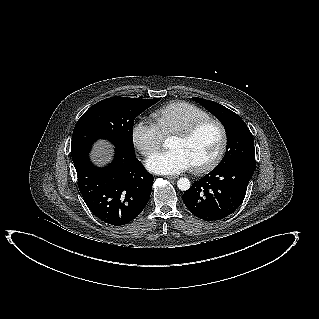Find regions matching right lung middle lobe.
<instances>
[{
	"instance_id": "dd1d6c3e",
	"label": "right lung middle lobe",
	"mask_w": 319,
	"mask_h": 319,
	"mask_svg": "<svg viewBox=\"0 0 319 319\" xmlns=\"http://www.w3.org/2000/svg\"><path fill=\"white\" fill-rule=\"evenodd\" d=\"M160 99L111 97L90 107L77 121L72 135L71 154L90 148L99 138L108 139L127 156H134V119Z\"/></svg>"
}]
</instances>
